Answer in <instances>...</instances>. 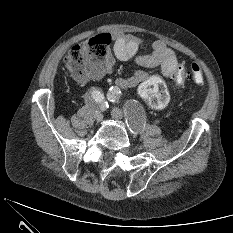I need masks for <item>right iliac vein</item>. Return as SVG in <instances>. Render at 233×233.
Here are the masks:
<instances>
[{
    "mask_svg": "<svg viewBox=\"0 0 233 233\" xmlns=\"http://www.w3.org/2000/svg\"><path fill=\"white\" fill-rule=\"evenodd\" d=\"M95 119H96L98 122L102 121V120H103V114H102L101 112H99V111H96V112H95Z\"/></svg>",
    "mask_w": 233,
    "mask_h": 233,
    "instance_id": "1",
    "label": "right iliac vein"
}]
</instances>
